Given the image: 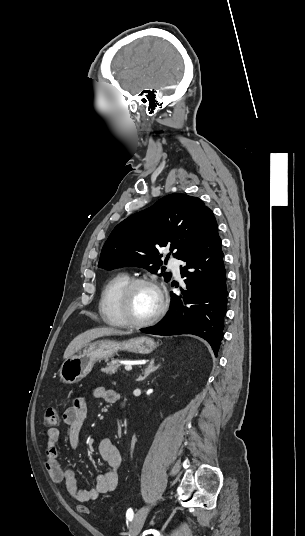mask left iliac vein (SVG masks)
I'll use <instances>...</instances> for the list:
<instances>
[{"instance_id":"left-iliac-vein-1","label":"left iliac vein","mask_w":305,"mask_h":536,"mask_svg":"<svg viewBox=\"0 0 305 536\" xmlns=\"http://www.w3.org/2000/svg\"><path fill=\"white\" fill-rule=\"evenodd\" d=\"M148 512V506L142 507L137 511L130 525V536H138L143 527Z\"/></svg>"}]
</instances>
